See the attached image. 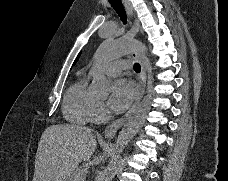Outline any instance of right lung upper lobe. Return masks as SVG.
Listing matches in <instances>:
<instances>
[{
	"mask_svg": "<svg viewBox=\"0 0 228 181\" xmlns=\"http://www.w3.org/2000/svg\"><path fill=\"white\" fill-rule=\"evenodd\" d=\"M79 56H80V54H79L78 57L76 58V60H75V62L73 63V65H74V64L76 63V61L78 60Z\"/></svg>",
	"mask_w": 228,
	"mask_h": 181,
	"instance_id": "1",
	"label": "right lung upper lobe"
}]
</instances>
